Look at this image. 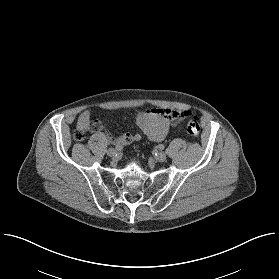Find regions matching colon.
Masks as SVG:
<instances>
[{
    "label": "colon",
    "mask_w": 279,
    "mask_h": 279,
    "mask_svg": "<svg viewBox=\"0 0 279 279\" xmlns=\"http://www.w3.org/2000/svg\"><path fill=\"white\" fill-rule=\"evenodd\" d=\"M88 130L89 129L87 127L78 126L73 135L74 139L76 141H83L87 135ZM187 132L191 138L198 137V135L200 133V125L196 119H192L189 121L188 127H187Z\"/></svg>",
    "instance_id": "obj_1"
}]
</instances>
